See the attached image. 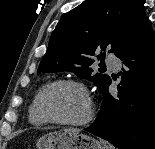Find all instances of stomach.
<instances>
[{
	"label": "stomach",
	"mask_w": 155,
	"mask_h": 149,
	"mask_svg": "<svg viewBox=\"0 0 155 149\" xmlns=\"http://www.w3.org/2000/svg\"><path fill=\"white\" fill-rule=\"evenodd\" d=\"M36 145L37 149H109L102 141L70 130L48 133Z\"/></svg>",
	"instance_id": "0dacf381"
}]
</instances>
